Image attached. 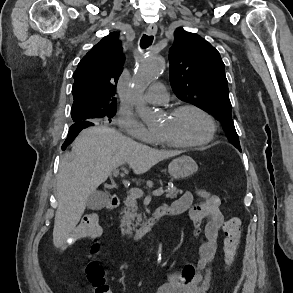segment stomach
Segmentation results:
<instances>
[{
    "label": "stomach",
    "instance_id": "1",
    "mask_svg": "<svg viewBox=\"0 0 293 293\" xmlns=\"http://www.w3.org/2000/svg\"><path fill=\"white\" fill-rule=\"evenodd\" d=\"M198 170V165L190 156H181L174 159L168 166L170 176L175 180L190 177Z\"/></svg>",
    "mask_w": 293,
    "mask_h": 293
}]
</instances>
